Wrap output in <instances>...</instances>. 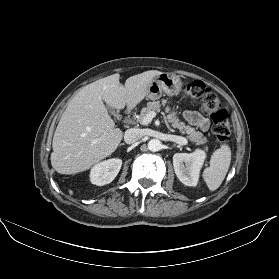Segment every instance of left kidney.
Wrapping results in <instances>:
<instances>
[{
  "label": "left kidney",
  "mask_w": 279,
  "mask_h": 279,
  "mask_svg": "<svg viewBox=\"0 0 279 279\" xmlns=\"http://www.w3.org/2000/svg\"><path fill=\"white\" fill-rule=\"evenodd\" d=\"M206 154L197 149L193 153H176L173 156L174 171L178 179L187 186H196Z\"/></svg>",
  "instance_id": "left-kidney-1"
}]
</instances>
